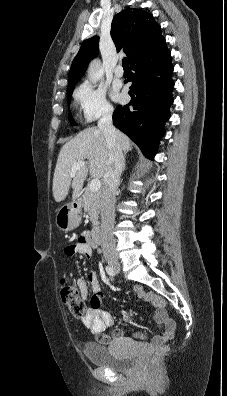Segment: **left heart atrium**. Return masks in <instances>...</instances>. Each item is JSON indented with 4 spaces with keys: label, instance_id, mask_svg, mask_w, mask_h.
Instances as JSON below:
<instances>
[{
    "label": "left heart atrium",
    "instance_id": "39dd6f15",
    "mask_svg": "<svg viewBox=\"0 0 227 396\" xmlns=\"http://www.w3.org/2000/svg\"><path fill=\"white\" fill-rule=\"evenodd\" d=\"M114 98H115V99H119L120 96H119L118 94H114Z\"/></svg>",
    "mask_w": 227,
    "mask_h": 396
}]
</instances>
